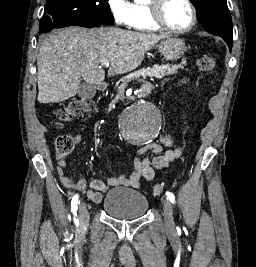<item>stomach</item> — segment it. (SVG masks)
<instances>
[{
  "label": "stomach",
  "mask_w": 256,
  "mask_h": 267,
  "mask_svg": "<svg viewBox=\"0 0 256 267\" xmlns=\"http://www.w3.org/2000/svg\"><path fill=\"white\" fill-rule=\"evenodd\" d=\"M161 56H163L164 60H179L181 56H183L184 52H186V44L184 40H180V38H166L163 42H160L157 46Z\"/></svg>",
  "instance_id": "0dacf381"
}]
</instances>
